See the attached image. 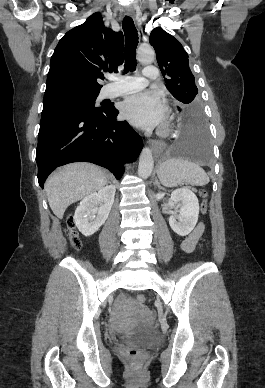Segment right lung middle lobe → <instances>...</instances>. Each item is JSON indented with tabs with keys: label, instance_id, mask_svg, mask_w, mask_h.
<instances>
[{
	"label": "right lung middle lobe",
	"instance_id": "dd1d6c3e",
	"mask_svg": "<svg viewBox=\"0 0 265 388\" xmlns=\"http://www.w3.org/2000/svg\"><path fill=\"white\" fill-rule=\"evenodd\" d=\"M97 94H66L44 98L41 116H47L62 111H101L102 107H95Z\"/></svg>",
	"mask_w": 265,
	"mask_h": 388
}]
</instances>
